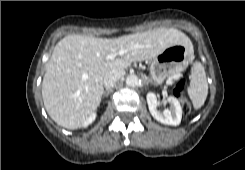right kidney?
<instances>
[{
    "label": "right kidney",
    "mask_w": 245,
    "mask_h": 170,
    "mask_svg": "<svg viewBox=\"0 0 245 170\" xmlns=\"http://www.w3.org/2000/svg\"><path fill=\"white\" fill-rule=\"evenodd\" d=\"M95 118H96V114H95V113L92 114V115H90V116L86 119V121L83 123L82 127H87L89 124H91V123L95 120Z\"/></svg>",
    "instance_id": "right-kidney-1"
}]
</instances>
